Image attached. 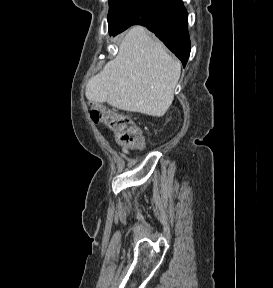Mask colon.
<instances>
[{
	"label": "colon",
	"instance_id": "5ec220e1",
	"mask_svg": "<svg viewBox=\"0 0 273 288\" xmlns=\"http://www.w3.org/2000/svg\"><path fill=\"white\" fill-rule=\"evenodd\" d=\"M90 117L95 123L106 124L114 133L118 145L127 149H140L144 146V136L134 121L110 108L95 104L91 106Z\"/></svg>",
	"mask_w": 273,
	"mask_h": 288
}]
</instances>
